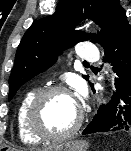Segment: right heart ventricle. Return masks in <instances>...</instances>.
Masks as SVG:
<instances>
[{"label": "right heart ventricle", "mask_w": 131, "mask_h": 151, "mask_svg": "<svg viewBox=\"0 0 131 151\" xmlns=\"http://www.w3.org/2000/svg\"><path fill=\"white\" fill-rule=\"evenodd\" d=\"M37 92V89L26 91L20 99L16 111V128L18 136L24 144L28 145H34L40 142V139L29 131L26 120L29 105Z\"/></svg>", "instance_id": "e07e8e85"}]
</instances>
